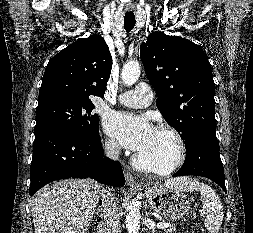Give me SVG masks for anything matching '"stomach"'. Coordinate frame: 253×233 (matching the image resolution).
I'll use <instances>...</instances> for the list:
<instances>
[{"instance_id":"1","label":"stomach","mask_w":253,"mask_h":233,"mask_svg":"<svg viewBox=\"0 0 253 233\" xmlns=\"http://www.w3.org/2000/svg\"><path fill=\"white\" fill-rule=\"evenodd\" d=\"M145 195L150 206L165 218L179 219L187 214L191 201L182 191L167 185L149 184Z\"/></svg>"}]
</instances>
